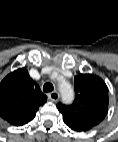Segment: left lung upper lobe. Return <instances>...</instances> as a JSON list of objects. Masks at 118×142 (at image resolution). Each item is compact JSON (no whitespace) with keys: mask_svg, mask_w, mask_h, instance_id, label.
<instances>
[{"mask_svg":"<svg viewBox=\"0 0 118 142\" xmlns=\"http://www.w3.org/2000/svg\"><path fill=\"white\" fill-rule=\"evenodd\" d=\"M76 97L71 105L57 104L64 123L74 131H88L97 126L108 112V88L96 75L75 77Z\"/></svg>","mask_w":118,"mask_h":142,"instance_id":"left-lung-upper-lobe-1","label":"left lung upper lobe"}]
</instances>
